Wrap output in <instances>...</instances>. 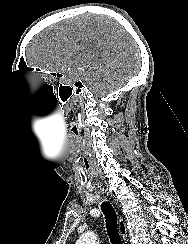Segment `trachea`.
<instances>
[{"label": "trachea", "mask_w": 188, "mask_h": 244, "mask_svg": "<svg viewBox=\"0 0 188 244\" xmlns=\"http://www.w3.org/2000/svg\"><path fill=\"white\" fill-rule=\"evenodd\" d=\"M101 210L105 216L107 233L112 244H122V239L118 231L117 215L113 206L104 201L101 204Z\"/></svg>", "instance_id": "trachea-1"}]
</instances>
